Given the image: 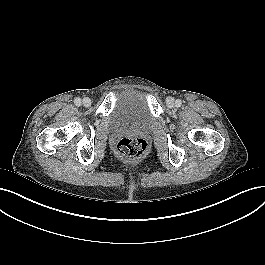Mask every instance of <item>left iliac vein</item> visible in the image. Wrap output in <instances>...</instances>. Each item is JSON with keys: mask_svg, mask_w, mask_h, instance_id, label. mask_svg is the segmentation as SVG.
Masks as SVG:
<instances>
[{"mask_svg": "<svg viewBox=\"0 0 265 265\" xmlns=\"http://www.w3.org/2000/svg\"><path fill=\"white\" fill-rule=\"evenodd\" d=\"M166 104L168 107H173L175 105V100L173 97L169 96L166 98Z\"/></svg>", "mask_w": 265, "mask_h": 265, "instance_id": "left-iliac-vein-1", "label": "left iliac vein"}]
</instances>
